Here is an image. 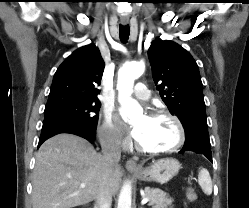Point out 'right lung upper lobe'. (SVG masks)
Returning <instances> with one entry per match:
<instances>
[{
	"label": "right lung upper lobe",
	"mask_w": 249,
	"mask_h": 208,
	"mask_svg": "<svg viewBox=\"0 0 249 208\" xmlns=\"http://www.w3.org/2000/svg\"><path fill=\"white\" fill-rule=\"evenodd\" d=\"M104 66L100 51L94 44L74 51L57 69L46 107L96 100Z\"/></svg>",
	"instance_id": "right-lung-upper-lobe-1"
}]
</instances>
